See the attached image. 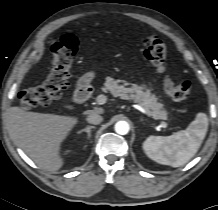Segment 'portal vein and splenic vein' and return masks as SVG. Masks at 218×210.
<instances>
[{"label":"portal vein and splenic vein","instance_id":"1","mask_svg":"<svg viewBox=\"0 0 218 210\" xmlns=\"http://www.w3.org/2000/svg\"><path fill=\"white\" fill-rule=\"evenodd\" d=\"M106 96H104V95H99V96H97V98H96V102H97V104H99V105H103V104H105L106 103ZM160 126L162 127V128H167V123L166 122H161V124H160Z\"/></svg>","mask_w":218,"mask_h":210}]
</instances>
